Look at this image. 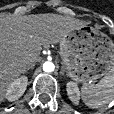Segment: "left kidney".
I'll list each match as a JSON object with an SVG mask.
<instances>
[{"label":"left kidney","instance_id":"1","mask_svg":"<svg viewBox=\"0 0 114 114\" xmlns=\"http://www.w3.org/2000/svg\"><path fill=\"white\" fill-rule=\"evenodd\" d=\"M66 89H67V94H68L70 100L74 104L77 105L79 103V100H80V92H79L77 84L70 81L67 83Z\"/></svg>","mask_w":114,"mask_h":114}]
</instances>
